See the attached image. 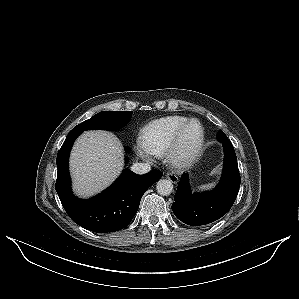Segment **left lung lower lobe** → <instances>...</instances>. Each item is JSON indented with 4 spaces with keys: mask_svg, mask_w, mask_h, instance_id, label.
I'll list each match as a JSON object with an SVG mask.
<instances>
[{
    "mask_svg": "<svg viewBox=\"0 0 299 299\" xmlns=\"http://www.w3.org/2000/svg\"><path fill=\"white\" fill-rule=\"evenodd\" d=\"M220 142L224 148V168L216 189L192 194L187 173L183 174L180 179L172 210L183 223L192 226L212 223L230 210L237 197L240 174L236 154L229 140Z\"/></svg>",
    "mask_w": 299,
    "mask_h": 299,
    "instance_id": "left-lung-lower-lobe-1",
    "label": "left lung lower lobe"
}]
</instances>
